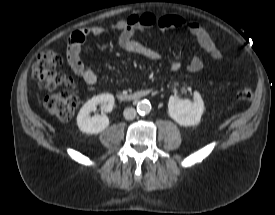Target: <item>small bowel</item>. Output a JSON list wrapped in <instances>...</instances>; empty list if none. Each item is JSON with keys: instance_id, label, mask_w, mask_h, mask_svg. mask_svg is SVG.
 Instances as JSON below:
<instances>
[{"instance_id": "1", "label": "small bowel", "mask_w": 275, "mask_h": 215, "mask_svg": "<svg viewBox=\"0 0 275 215\" xmlns=\"http://www.w3.org/2000/svg\"><path fill=\"white\" fill-rule=\"evenodd\" d=\"M157 27L162 31L170 29H184L188 31L197 41L198 45L213 59L220 63L222 54L210 34L197 22L180 15L163 14L157 15L153 12L137 13L125 20H118L108 26L84 27L72 32L68 38L66 56L72 71L81 77L88 85L97 83V74L91 68L85 66L80 58L81 46L88 36H99L108 31H120L119 46L121 49L140 55L151 61H166L172 71H178L180 62L173 59H165L153 48L145 46L134 39L136 32ZM203 67L200 56L195 55L187 65L190 72H198Z\"/></svg>"}]
</instances>
